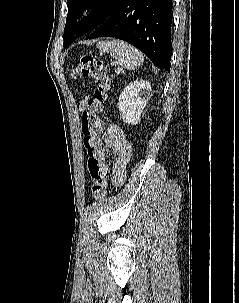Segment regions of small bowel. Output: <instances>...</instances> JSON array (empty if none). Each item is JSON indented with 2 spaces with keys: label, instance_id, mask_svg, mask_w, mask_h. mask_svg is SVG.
<instances>
[{
  "label": "small bowel",
  "instance_id": "c3829d8e",
  "mask_svg": "<svg viewBox=\"0 0 239 303\" xmlns=\"http://www.w3.org/2000/svg\"><path fill=\"white\" fill-rule=\"evenodd\" d=\"M104 146L112 155V184L121 186L126 179V166L131 158L130 141L118 125L110 124L104 135Z\"/></svg>",
  "mask_w": 239,
  "mask_h": 303
}]
</instances>
